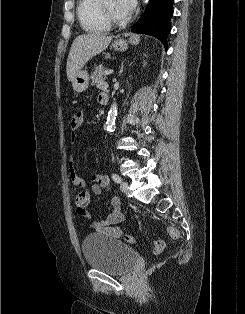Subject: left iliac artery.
<instances>
[{
    "mask_svg": "<svg viewBox=\"0 0 245 314\" xmlns=\"http://www.w3.org/2000/svg\"><path fill=\"white\" fill-rule=\"evenodd\" d=\"M112 179L116 183H120L121 182V177L118 174H116V173L112 174Z\"/></svg>",
    "mask_w": 245,
    "mask_h": 314,
    "instance_id": "obj_1",
    "label": "left iliac artery"
}]
</instances>
